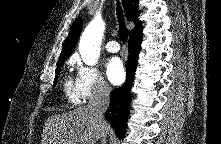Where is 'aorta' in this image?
Instances as JSON below:
<instances>
[{
	"label": "aorta",
	"instance_id": "762f6f07",
	"mask_svg": "<svg viewBox=\"0 0 221 144\" xmlns=\"http://www.w3.org/2000/svg\"><path fill=\"white\" fill-rule=\"evenodd\" d=\"M104 31L105 23L103 20L94 18L82 33L79 52L83 62L88 66L98 63Z\"/></svg>",
	"mask_w": 221,
	"mask_h": 144
}]
</instances>
